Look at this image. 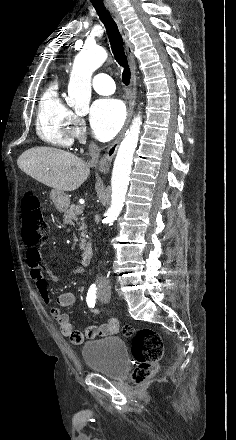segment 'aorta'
Wrapping results in <instances>:
<instances>
[{
  "instance_id": "1",
  "label": "aorta",
  "mask_w": 236,
  "mask_h": 440,
  "mask_svg": "<svg viewBox=\"0 0 236 440\" xmlns=\"http://www.w3.org/2000/svg\"><path fill=\"white\" fill-rule=\"evenodd\" d=\"M107 59L105 49L98 46H85L75 57L68 84L67 104L76 112L89 109L91 99V77ZM142 118L136 116L125 134L118 149L111 178L112 200L106 212V222L111 226L120 215L125 202L133 155L136 150Z\"/></svg>"
}]
</instances>
